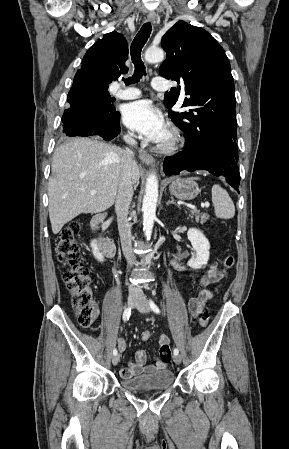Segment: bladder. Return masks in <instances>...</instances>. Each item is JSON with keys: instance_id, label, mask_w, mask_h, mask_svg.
Returning <instances> with one entry per match:
<instances>
[{"instance_id": "31cf9c89", "label": "bladder", "mask_w": 289, "mask_h": 449, "mask_svg": "<svg viewBox=\"0 0 289 449\" xmlns=\"http://www.w3.org/2000/svg\"><path fill=\"white\" fill-rule=\"evenodd\" d=\"M174 383L170 369L156 370L120 380V386L128 391L167 389Z\"/></svg>"}]
</instances>
